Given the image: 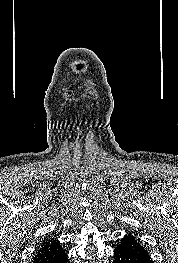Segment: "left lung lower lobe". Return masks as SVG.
<instances>
[{
    "instance_id": "0a47b994",
    "label": "left lung lower lobe",
    "mask_w": 178,
    "mask_h": 263,
    "mask_svg": "<svg viewBox=\"0 0 178 263\" xmlns=\"http://www.w3.org/2000/svg\"><path fill=\"white\" fill-rule=\"evenodd\" d=\"M114 255L115 260L112 263H153L148 252L130 234L121 239Z\"/></svg>"
}]
</instances>
